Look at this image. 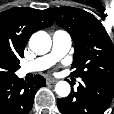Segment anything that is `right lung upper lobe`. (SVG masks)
Returning a JSON list of instances; mask_svg holds the SVG:
<instances>
[{"label":"right lung upper lobe","instance_id":"cb5924a9","mask_svg":"<svg viewBox=\"0 0 114 114\" xmlns=\"http://www.w3.org/2000/svg\"><path fill=\"white\" fill-rule=\"evenodd\" d=\"M45 11L21 7L0 13V61L20 62L30 36L53 24Z\"/></svg>","mask_w":114,"mask_h":114}]
</instances>
